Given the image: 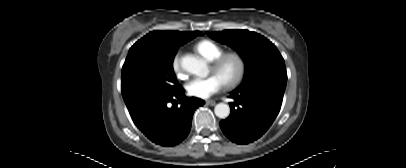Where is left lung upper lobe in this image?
I'll return each mask as SVG.
<instances>
[{
	"mask_svg": "<svg viewBox=\"0 0 406 168\" xmlns=\"http://www.w3.org/2000/svg\"><path fill=\"white\" fill-rule=\"evenodd\" d=\"M210 37L236 49L245 62L244 81L234 92L255 88L285 90L287 82L285 62L275 45L268 39L247 30L213 32Z\"/></svg>",
	"mask_w": 406,
	"mask_h": 168,
	"instance_id": "left-lung-upper-lobe-1",
	"label": "left lung upper lobe"
}]
</instances>
